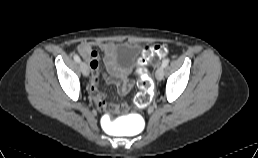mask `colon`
<instances>
[{
    "label": "colon",
    "mask_w": 258,
    "mask_h": 158,
    "mask_svg": "<svg viewBox=\"0 0 258 158\" xmlns=\"http://www.w3.org/2000/svg\"><path fill=\"white\" fill-rule=\"evenodd\" d=\"M167 55V48L162 44H154L151 46H144L141 55L138 59V73L139 81L138 86L140 92L138 93L135 103L138 107L143 108L150 104L153 92V82L147 72V64L154 62L156 59H163ZM116 108L124 109V105L118 107L110 105L107 106V110H113Z\"/></svg>",
    "instance_id": "1"
}]
</instances>
